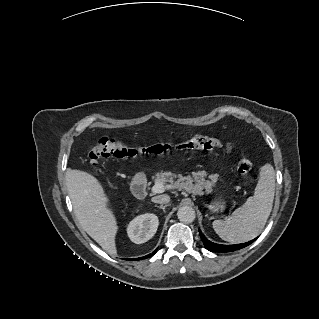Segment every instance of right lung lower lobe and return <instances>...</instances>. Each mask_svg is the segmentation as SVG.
I'll return each instance as SVG.
<instances>
[{"label": "right lung lower lobe", "instance_id": "1", "mask_svg": "<svg viewBox=\"0 0 319 319\" xmlns=\"http://www.w3.org/2000/svg\"><path fill=\"white\" fill-rule=\"evenodd\" d=\"M157 252V249L155 251H153L151 254H148L142 258H136L135 260H141V259H146V258H149L151 257L152 255H154L155 253ZM130 260H133V259H130Z\"/></svg>", "mask_w": 319, "mask_h": 319}]
</instances>
